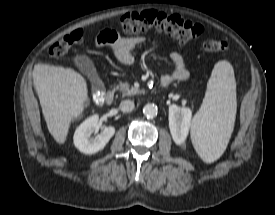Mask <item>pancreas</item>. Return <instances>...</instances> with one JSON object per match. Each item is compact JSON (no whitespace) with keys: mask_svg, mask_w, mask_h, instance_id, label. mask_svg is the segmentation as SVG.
Wrapping results in <instances>:
<instances>
[{"mask_svg":"<svg viewBox=\"0 0 275 215\" xmlns=\"http://www.w3.org/2000/svg\"><path fill=\"white\" fill-rule=\"evenodd\" d=\"M117 89H119L122 92L123 96H133L136 94H140L143 91L139 88H136L134 86H130L128 82H122L119 86H117Z\"/></svg>","mask_w":275,"mask_h":215,"instance_id":"pancreas-1","label":"pancreas"}]
</instances>
